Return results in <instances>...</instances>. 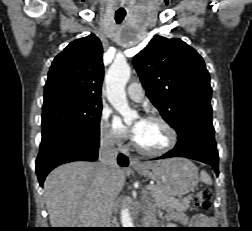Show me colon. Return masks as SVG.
I'll list each match as a JSON object with an SVG mask.
<instances>
[{
  "mask_svg": "<svg viewBox=\"0 0 252 231\" xmlns=\"http://www.w3.org/2000/svg\"><path fill=\"white\" fill-rule=\"evenodd\" d=\"M212 191L209 188L199 190L194 198L193 206L198 209L208 211L212 203Z\"/></svg>",
  "mask_w": 252,
  "mask_h": 231,
  "instance_id": "1",
  "label": "colon"
}]
</instances>
